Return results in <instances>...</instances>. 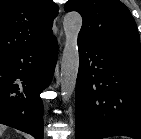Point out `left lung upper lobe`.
Returning a JSON list of instances; mask_svg holds the SVG:
<instances>
[{"mask_svg":"<svg viewBox=\"0 0 141 139\" xmlns=\"http://www.w3.org/2000/svg\"><path fill=\"white\" fill-rule=\"evenodd\" d=\"M64 9L82 15L80 37L109 48L141 55L135 20L121 1L69 0Z\"/></svg>","mask_w":141,"mask_h":139,"instance_id":"1","label":"left lung upper lobe"}]
</instances>
